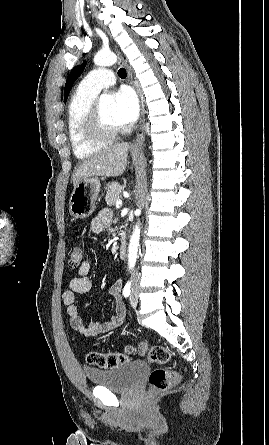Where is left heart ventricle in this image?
<instances>
[{
	"label": "left heart ventricle",
	"mask_w": 269,
	"mask_h": 445,
	"mask_svg": "<svg viewBox=\"0 0 269 445\" xmlns=\"http://www.w3.org/2000/svg\"><path fill=\"white\" fill-rule=\"evenodd\" d=\"M99 111L103 120L112 126H118L113 117V104H101L99 105Z\"/></svg>",
	"instance_id": "b2bd125f"
}]
</instances>
